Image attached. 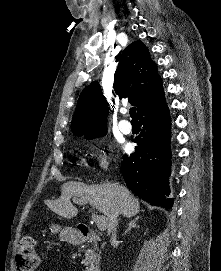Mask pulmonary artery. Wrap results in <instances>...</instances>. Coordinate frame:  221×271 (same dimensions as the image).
Wrapping results in <instances>:
<instances>
[{
  "mask_svg": "<svg viewBox=\"0 0 221 271\" xmlns=\"http://www.w3.org/2000/svg\"><path fill=\"white\" fill-rule=\"evenodd\" d=\"M117 126H119L122 132L126 135L131 132L130 127H124L127 126V121H117Z\"/></svg>",
  "mask_w": 221,
  "mask_h": 271,
  "instance_id": "e3ab8cb5",
  "label": "pulmonary artery"
}]
</instances>
